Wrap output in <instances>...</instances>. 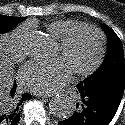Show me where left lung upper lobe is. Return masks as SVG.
Wrapping results in <instances>:
<instances>
[{
    "mask_svg": "<svg viewBox=\"0 0 125 125\" xmlns=\"http://www.w3.org/2000/svg\"><path fill=\"white\" fill-rule=\"evenodd\" d=\"M102 28L108 37V52L100 68L81 82L85 89L125 81L124 52L121 40L107 25Z\"/></svg>",
    "mask_w": 125,
    "mask_h": 125,
    "instance_id": "left-lung-upper-lobe-1",
    "label": "left lung upper lobe"
}]
</instances>
